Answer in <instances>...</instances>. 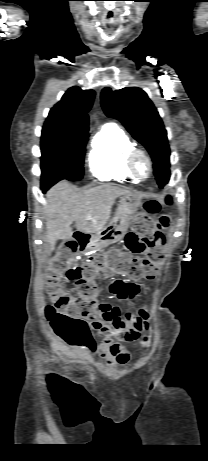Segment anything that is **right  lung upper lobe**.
I'll list each match as a JSON object with an SVG mask.
<instances>
[{
    "label": "right lung upper lobe",
    "mask_w": 208,
    "mask_h": 461,
    "mask_svg": "<svg viewBox=\"0 0 208 461\" xmlns=\"http://www.w3.org/2000/svg\"><path fill=\"white\" fill-rule=\"evenodd\" d=\"M95 92L71 87L62 99L50 110L44 125L59 128L69 133H87L88 115Z\"/></svg>",
    "instance_id": "cb5924a9"
}]
</instances>
